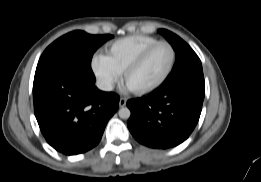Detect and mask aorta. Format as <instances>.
Returning a JSON list of instances; mask_svg holds the SVG:
<instances>
[{"instance_id": "obj_1", "label": "aorta", "mask_w": 261, "mask_h": 182, "mask_svg": "<svg viewBox=\"0 0 261 182\" xmlns=\"http://www.w3.org/2000/svg\"><path fill=\"white\" fill-rule=\"evenodd\" d=\"M131 115L130 110L127 107H123L119 110V117L122 119H128Z\"/></svg>"}]
</instances>
